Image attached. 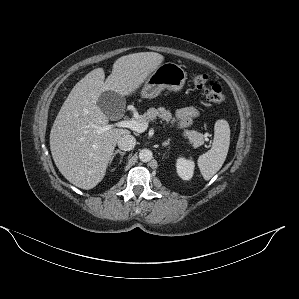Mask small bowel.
Instances as JSON below:
<instances>
[{
    "mask_svg": "<svg viewBox=\"0 0 299 299\" xmlns=\"http://www.w3.org/2000/svg\"><path fill=\"white\" fill-rule=\"evenodd\" d=\"M198 115V110L193 106H184L178 109L175 113V117L180 127L189 126Z\"/></svg>",
    "mask_w": 299,
    "mask_h": 299,
    "instance_id": "1",
    "label": "small bowel"
}]
</instances>
